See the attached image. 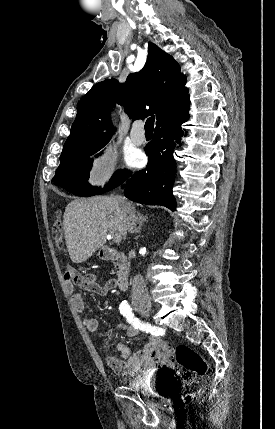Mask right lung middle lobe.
I'll return each instance as SVG.
<instances>
[{"mask_svg": "<svg viewBox=\"0 0 275 429\" xmlns=\"http://www.w3.org/2000/svg\"><path fill=\"white\" fill-rule=\"evenodd\" d=\"M100 149L101 148L88 151L79 156L62 159L52 181L62 185L74 195L84 197L102 194L114 189L124 181L129 171H116L110 179L109 184L103 189L93 187L87 182L93 161V159H89V156L95 154Z\"/></svg>", "mask_w": 275, "mask_h": 429, "instance_id": "obj_1", "label": "right lung middle lobe"}]
</instances>
